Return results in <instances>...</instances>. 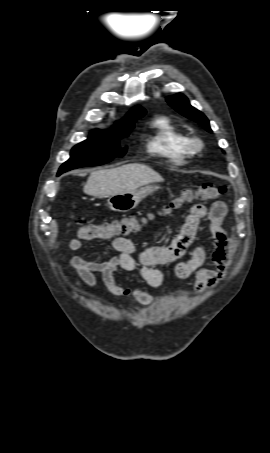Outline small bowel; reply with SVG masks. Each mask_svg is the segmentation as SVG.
Masks as SVG:
<instances>
[{
	"instance_id": "1",
	"label": "small bowel",
	"mask_w": 270,
	"mask_h": 453,
	"mask_svg": "<svg viewBox=\"0 0 270 453\" xmlns=\"http://www.w3.org/2000/svg\"><path fill=\"white\" fill-rule=\"evenodd\" d=\"M227 207L223 201H215L210 208L201 203L194 204L184 222L180 225L173 239L168 245H149L139 249L129 238L116 237L112 240L115 255L108 260H90L80 256L70 259L71 266L77 271V286L86 285L90 288L99 287L96 274H100L102 282L110 295L114 297H132L140 304H150L154 297L141 287H122L119 285L114 274L119 271H137L142 281L151 288H158L164 280V273L158 269V265L174 264L173 275L175 278L184 280L190 276L195 277L194 288L197 293L216 286L226 274V259L228 236L225 229ZM206 219L204 228L213 242L210 259L215 268L205 267L208 259L207 242L192 248L189 259L179 261L197 239L201 221ZM96 239H104L96 237ZM91 238L80 235L68 241V247L72 250L81 249Z\"/></svg>"
}]
</instances>
